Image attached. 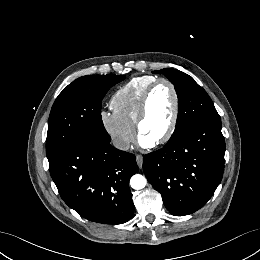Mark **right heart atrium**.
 <instances>
[{
	"label": "right heart atrium",
	"instance_id": "right-heart-atrium-1",
	"mask_svg": "<svg viewBox=\"0 0 260 260\" xmlns=\"http://www.w3.org/2000/svg\"><path fill=\"white\" fill-rule=\"evenodd\" d=\"M100 121L113 145L119 150H127L135 139V126L128 123L115 111H101Z\"/></svg>",
	"mask_w": 260,
	"mask_h": 260
}]
</instances>
